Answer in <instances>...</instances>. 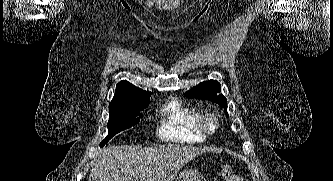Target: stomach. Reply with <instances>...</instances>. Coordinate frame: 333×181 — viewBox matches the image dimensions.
<instances>
[{"instance_id":"0dacf381","label":"stomach","mask_w":333,"mask_h":181,"mask_svg":"<svg viewBox=\"0 0 333 181\" xmlns=\"http://www.w3.org/2000/svg\"><path fill=\"white\" fill-rule=\"evenodd\" d=\"M203 175L196 169H185L178 175V181H202Z\"/></svg>"}]
</instances>
